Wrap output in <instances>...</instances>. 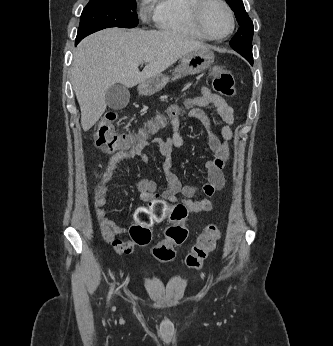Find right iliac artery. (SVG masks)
<instances>
[{
    "label": "right iliac artery",
    "instance_id": "82829eb1",
    "mask_svg": "<svg viewBox=\"0 0 333 346\" xmlns=\"http://www.w3.org/2000/svg\"><path fill=\"white\" fill-rule=\"evenodd\" d=\"M112 291H113V288H111V290H110V292H109V295H108V300H109V299H110V297H111Z\"/></svg>",
    "mask_w": 333,
    "mask_h": 346
}]
</instances>
